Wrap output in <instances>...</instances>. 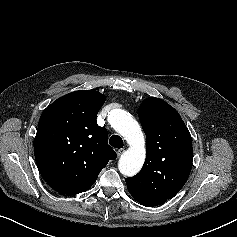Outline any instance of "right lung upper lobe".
<instances>
[{
    "label": "right lung upper lobe",
    "instance_id": "cb5924a9",
    "mask_svg": "<svg viewBox=\"0 0 237 237\" xmlns=\"http://www.w3.org/2000/svg\"><path fill=\"white\" fill-rule=\"evenodd\" d=\"M105 96L93 90L66 94L42 113L34 143L38 169L55 191L75 195L91 188L116 152L96 117Z\"/></svg>",
    "mask_w": 237,
    "mask_h": 237
}]
</instances>
